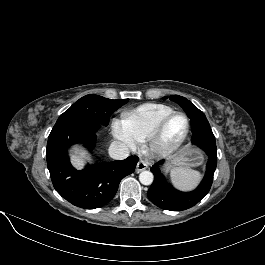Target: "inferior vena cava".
<instances>
[{
	"label": "inferior vena cava",
	"mask_w": 265,
	"mask_h": 265,
	"mask_svg": "<svg viewBox=\"0 0 265 265\" xmlns=\"http://www.w3.org/2000/svg\"><path fill=\"white\" fill-rule=\"evenodd\" d=\"M111 158L116 160H123L129 156V147L121 141H113L108 149Z\"/></svg>",
	"instance_id": "inferior-vena-cava-1"
}]
</instances>
